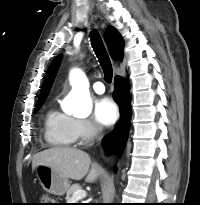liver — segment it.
<instances>
[{
    "label": "liver",
    "mask_w": 200,
    "mask_h": 205,
    "mask_svg": "<svg viewBox=\"0 0 200 205\" xmlns=\"http://www.w3.org/2000/svg\"><path fill=\"white\" fill-rule=\"evenodd\" d=\"M39 165L54 168L73 180H81L86 176L88 183L95 182L102 171L97 164L91 163L86 152L75 148L54 147L38 152L33 156L32 169Z\"/></svg>",
    "instance_id": "obj_1"
}]
</instances>
